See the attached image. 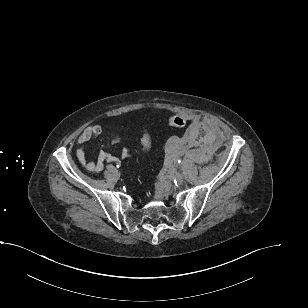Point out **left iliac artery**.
Segmentation results:
<instances>
[{"label": "left iliac artery", "instance_id": "1", "mask_svg": "<svg viewBox=\"0 0 308 308\" xmlns=\"http://www.w3.org/2000/svg\"><path fill=\"white\" fill-rule=\"evenodd\" d=\"M178 163H181V160H178Z\"/></svg>", "mask_w": 308, "mask_h": 308}]
</instances>
